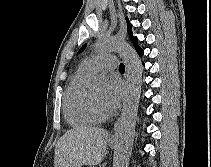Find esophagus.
<instances>
[{
	"label": "esophagus",
	"instance_id": "1",
	"mask_svg": "<svg viewBox=\"0 0 211 167\" xmlns=\"http://www.w3.org/2000/svg\"><path fill=\"white\" fill-rule=\"evenodd\" d=\"M122 117H123V113L121 114V116L119 117V119L116 121V123L114 124V128H113V132L110 136V140L111 141H117L119 138V133H120V129H121V122H122Z\"/></svg>",
	"mask_w": 211,
	"mask_h": 167
}]
</instances>
